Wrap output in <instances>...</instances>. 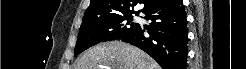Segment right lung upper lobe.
Instances as JSON below:
<instances>
[{"mask_svg": "<svg viewBox=\"0 0 246 69\" xmlns=\"http://www.w3.org/2000/svg\"><path fill=\"white\" fill-rule=\"evenodd\" d=\"M163 1L165 0H91L89 7L84 14L83 21H94L112 15L135 13L131 8L137 5V3L144 5L141 10L137 11V13H140Z\"/></svg>", "mask_w": 246, "mask_h": 69, "instance_id": "1", "label": "right lung upper lobe"}]
</instances>
